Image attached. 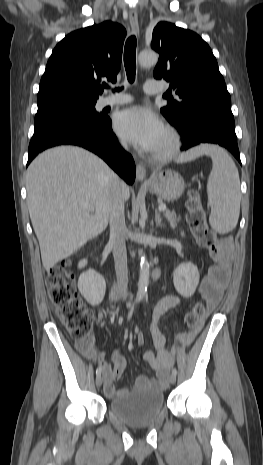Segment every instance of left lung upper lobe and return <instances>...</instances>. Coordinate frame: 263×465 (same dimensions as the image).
Listing matches in <instances>:
<instances>
[{
    "label": "left lung upper lobe",
    "mask_w": 263,
    "mask_h": 465,
    "mask_svg": "<svg viewBox=\"0 0 263 465\" xmlns=\"http://www.w3.org/2000/svg\"><path fill=\"white\" fill-rule=\"evenodd\" d=\"M151 47L160 56L156 79L170 82L179 100L171 99L161 113L173 125L202 106L231 111V98L208 44L195 32L169 22L153 30Z\"/></svg>",
    "instance_id": "left-lung-upper-lobe-1"
}]
</instances>
